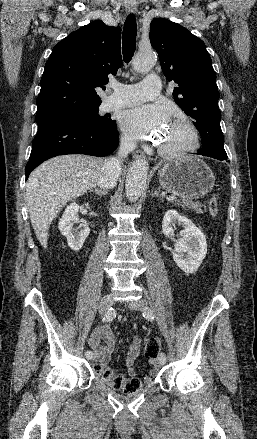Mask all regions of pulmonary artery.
Returning a JSON list of instances; mask_svg holds the SVG:
<instances>
[{
  "instance_id": "e3ab8cb5",
  "label": "pulmonary artery",
  "mask_w": 257,
  "mask_h": 439,
  "mask_svg": "<svg viewBox=\"0 0 257 439\" xmlns=\"http://www.w3.org/2000/svg\"><path fill=\"white\" fill-rule=\"evenodd\" d=\"M113 94L106 99L107 109H115L137 104L155 98L160 92V78L148 75L142 82L133 85H113Z\"/></svg>"
}]
</instances>
